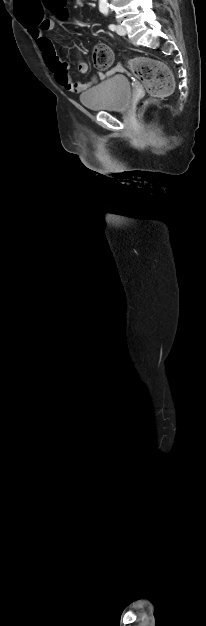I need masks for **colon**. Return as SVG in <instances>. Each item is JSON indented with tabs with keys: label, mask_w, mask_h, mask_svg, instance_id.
<instances>
[{
	"label": "colon",
	"mask_w": 206,
	"mask_h": 626,
	"mask_svg": "<svg viewBox=\"0 0 206 626\" xmlns=\"http://www.w3.org/2000/svg\"><path fill=\"white\" fill-rule=\"evenodd\" d=\"M45 6L59 16L66 15L67 0H44ZM30 22V21H29ZM30 25V23H28ZM113 60L110 48L104 44L95 46L93 64L96 68L106 69ZM129 68L145 86L150 99L141 104L144 111L148 106L167 97L173 88L172 75L165 64L147 57H135L128 61Z\"/></svg>",
	"instance_id": "5ec220e1"
}]
</instances>
